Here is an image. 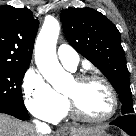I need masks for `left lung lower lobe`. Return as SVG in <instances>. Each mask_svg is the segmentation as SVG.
I'll use <instances>...</instances> for the list:
<instances>
[{
	"instance_id": "0a47b994",
	"label": "left lung lower lobe",
	"mask_w": 136,
	"mask_h": 136,
	"mask_svg": "<svg viewBox=\"0 0 136 136\" xmlns=\"http://www.w3.org/2000/svg\"><path fill=\"white\" fill-rule=\"evenodd\" d=\"M110 124L120 127L130 136H136V116L134 114L122 115Z\"/></svg>"
}]
</instances>
